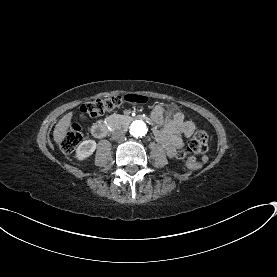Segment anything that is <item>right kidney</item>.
<instances>
[{"label":"right kidney","mask_w":277,"mask_h":277,"mask_svg":"<svg viewBox=\"0 0 277 277\" xmlns=\"http://www.w3.org/2000/svg\"><path fill=\"white\" fill-rule=\"evenodd\" d=\"M97 149V142L95 140H84L76 148L75 158L78 161H84L91 157Z\"/></svg>","instance_id":"1"}]
</instances>
